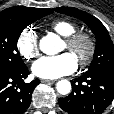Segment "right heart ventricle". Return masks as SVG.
Instances as JSON below:
<instances>
[{"mask_svg":"<svg viewBox=\"0 0 114 114\" xmlns=\"http://www.w3.org/2000/svg\"><path fill=\"white\" fill-rule=\"evenodd\" d=\"M50 27L63 37H67L77 31L76 24L65 19H59L51 22Z\"/></svg>","mask_w":114,"mask_h":114,"instance_id":"e07e8e85","label":"right heart ventricle"}]
</instances>
